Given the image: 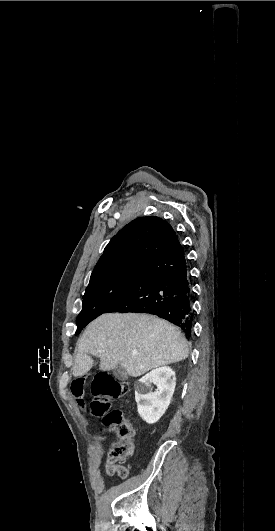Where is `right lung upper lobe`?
Wrapping results in <instances>:
<instances>
[{
	"instance_id": "right-lung-upper-lobe-1",
	"label": "right lung upper lobe",
	"mask_w": 275,
	"mask_h": 531,
	"mask_svg": "<svg viewBox=\"0 0 275 531\" xmlns=\"http://www.w3.org/2000/svg\"><path fill=\"white\" fill-rule=\"evenodd\" d=\"M175 235L171 225L156 216L139 217L131 221L105 247L90 282L116 270L147 265Z\"/></svg>"
}]
</instances>
